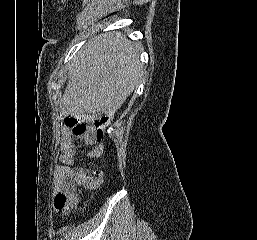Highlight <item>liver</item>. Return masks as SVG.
Masks as SVG:
<instances>
[{
	"label": "liver",
	"mask_w": 257,
	"mask_h": 240,
	"mask_svg": "<svg viewBox=\"0 0 257 240\" xmlns=\"http://www.w3.org/2000/svg\"><path fill=\"white\" fill-rule=\"evenodd\" d=\"M138 56L139 46L119 32L90 40L69 68L62 115L82 121L114 115L142 79Z\"/></svg>",
	"instance_id": "obj_1"
}]
</instances>
